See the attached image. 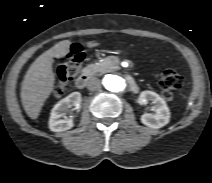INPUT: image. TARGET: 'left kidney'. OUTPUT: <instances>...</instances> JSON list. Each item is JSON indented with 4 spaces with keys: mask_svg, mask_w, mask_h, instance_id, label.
I'll list each match as a JSON object with an SVG mask.
<instances>
[{
    "mask_svg": "<svg viewBox=\"0 0 212 183\" xmlns=\"http://www.w3.org/2000/svg\"><path fill=\"white\" fill-rule=\"evenodd\" d=\"M139 103L146 104L150 101L155 110L154 114L145 113L141 116V122L153 129H159L169 123L170 110L163 98L152 91H143L139 96Z\"/></svg>",
    "mask_w": 212,
    "mask_h": 183,
    "instance_id": "5707ae66",
    "label": "left kidney"
}]
</instances>
